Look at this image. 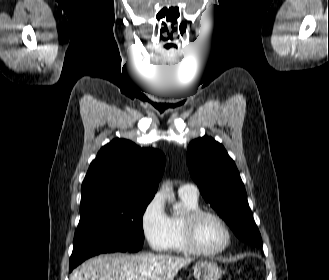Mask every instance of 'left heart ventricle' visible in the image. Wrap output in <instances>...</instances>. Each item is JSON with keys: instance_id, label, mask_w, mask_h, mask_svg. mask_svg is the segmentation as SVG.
I'll list each match as a JSON object with an SVG mask.
<instances>
[{"instance_id": "b2bd125f", "label": "left heart ventricle", "mask_w": 329, "mask_h": 280, "mask_svg": "<svg viewBox=\"0 0 329 280\" xmlns=\"http://www.w3.org/2000/svg\"><path fill=\"white\" fill-rule=\"evenodd\" d=\"M196 237L203 249L213 251L225 243L226 233L217 220L212 217H203L197 224Z\"/></svg>"}]
</instances>
